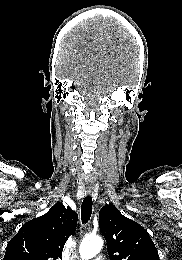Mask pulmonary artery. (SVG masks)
<instances>
[{"mask_svg": "<svg viewBox=\"0 0 182 260\" xmlns=\"http://www.w3.org/2000/svg\"><path fill=\"white\" fill-rule=\"evenodd\" d=\"M94 260H104V258L101 257V256H98V257H96Z\"/></svg>", "mask_w": 182, "mask_h": 260, "instance_id": "pulmonary-artery-1", "label": "pulmonary artery"}]
</instances>
